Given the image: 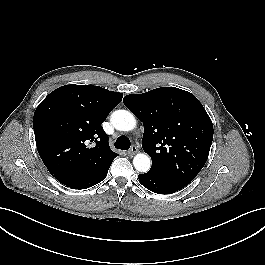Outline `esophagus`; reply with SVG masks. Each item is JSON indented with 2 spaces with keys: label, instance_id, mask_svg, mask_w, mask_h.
<instances>
[{
  "label": "esophagus",
  "instance_id": "1",
  "mask_svg": "<svg viewBox=\"0 0 265 265\" xmlns=\"http://www.w3.org/2000/svg\"><path fill=\"white\" fill-rule=\"evenodd\" d=\"M137 151H138L137 147L133 145L127 153L129 156H133L137 153Z\"/></svg>",
  "mask_w": 265,
  "mask_h": 265
}]
</instances>
